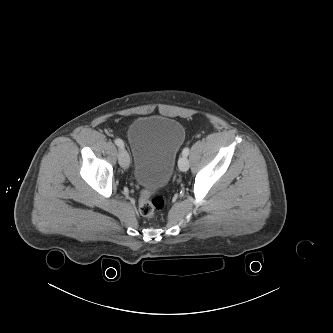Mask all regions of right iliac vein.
<instances>
[{"label":"right iliac vein","instance_id":"1","mask_svg":"<svg viewBox=\"0 0 333 333\" xmlns=\"http://www.w3.org/2000/svg\"><path fill=\"white\" fill-rule=\"evenodd\" d=\"M118 160L122 168L128 169L130 165V157L128 152L124 148L123 149L121 148V150H119Z\"/></svg>","mask_w":333,"mask_h":333}]
</instances>
